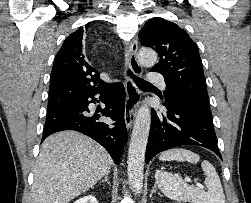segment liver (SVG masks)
<instances>
[{"label": "liver", "instance_id": "6515ba94", "mask_svg": "<svg viewBox=\"0 0 251 203\" xmlns=\"http://www.w3.org/2000/svg\"><path fill=\"white\" fill-rule=\"evenodd\" d=\"M112 162L88 136L75 131L49 136L36 161L32 203H69L109 173Z\"/></svg>", "mask_w": 251, "mask_h": 203}]
</instances>
